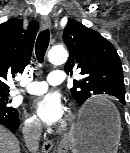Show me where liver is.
Returning a JSON list of instances; mask_svg holds the SVG:
<instances>
[{
	"label": "liver",
	"instance_id": "liver-1",
	"mask_svg": "<svg viewBox=\"0 0 130 153\" xmlns=\"http://www.w3.org/2000/svg\"><path fill=\"white\" fill-rule=\"evenodd\" d=\"M0 153H20L18 139L2 125H0Z\"/></svg>",
	"mask_w": 130,
	"mask_h": 153
}]
</instances>
